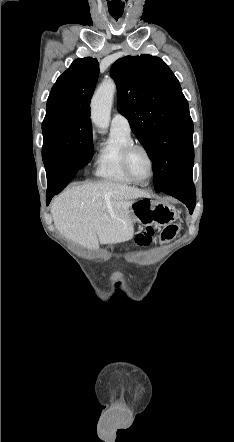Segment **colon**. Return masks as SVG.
Listing matches in <instances>:
<instances>
[{"label": "colon", "mask_w": 234, "mask_h": 442, "mask_svg": "<svg viewBox=\"0 0 234 442\" xmlns=\"http://www.w3.org/2000/svg\"><path fill=\"white\" fill-rule=\"evenodd\" d=\"M179 227L175 224H171L163 228L161 231V241L171 240L178 232ZM154 235V229L152 227L146 228L144 231L137 234L135 241L140 246H147L151 243L152 237Z\"/></svg>", "instance_id": "1"}]
</instances>
